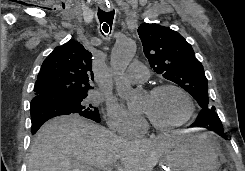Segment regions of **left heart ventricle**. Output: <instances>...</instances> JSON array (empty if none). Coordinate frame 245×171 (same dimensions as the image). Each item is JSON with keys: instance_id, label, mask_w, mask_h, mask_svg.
Masks as SVG:
<instances>
[{"instance_id": "1", "label": "left heart ventricle", "mask_w": 245, "mask_h": 171, "mask_svg": "<svg viewBox=\"0 0 245 171\" xmlns=\"http://www.w3.org/2000/svg\"><path fill=\"white\" fill-rule=\"evenodd\" d=\"M142 111L158 124L168 125L185 117L188 103L178 91L168 89L155 95L147 94L142 102Z\"/></svg>"}]
</instances>
